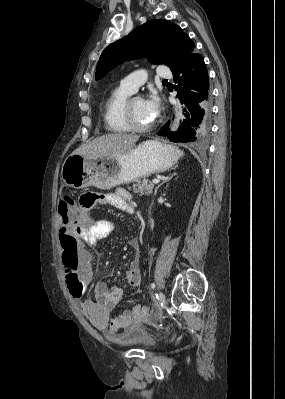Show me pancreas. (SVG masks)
Segmentation results:
<instances>
[{
	"label": "pancreas",
	"mask_w": 285,
	"mask_h": 399,
	"mask_svg": "<svg viewBox=\"0 0 285 399\" xmlns=\"http://www.w3.org/2000/svg\"><path fill=\"white\" fill-rule=\"evenodd\" d=\"M154 189L153 183H148L147 181L137 182L133 184L132 190L135 193L142 195H151Z\"/></svg>",
	"instance_id": "obj_1"
}]
</instances>
